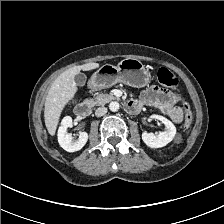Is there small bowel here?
<instances>
[{
	"mask_svg": "<svg viewBox=\"0 0 224 224\" xmlns=\"http://www.w3.org/2000/svg\"><path fill=\"white\" fill-rule=\"evenodd\" d=\"M181 97L178 94L167 92L157 87L145 89L139 100H134L141 106H151L157 108L163 114L169 116L174 122H181L183 118L182 110L175 106Z\"/></svg>",
	"mask_w": 224,
	"mask_h": 224,
	"instance_id": "obj_1",
	"label": "small bowel"
}]
</instances>
